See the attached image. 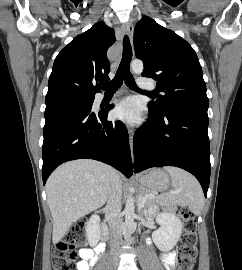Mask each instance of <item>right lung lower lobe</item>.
Listing matches in <instances>:
<instances>
[{
  "mask_svg": "<svg viewBox=\"0 0 242 270\" xmlns=\"http://www.w3.org/2000/svg\"><path fill=\"white\" fill-rule=\"evenodd\" d=\"M94 113L85 102L45 110L42 177L46 183L60 164L89 158L110 164L126 177L133 173L129 136L121 121H107L108 111Z\"/></svg>",
  "mask_w": 242,
  "mask_h": 270,
  "instance_id": "right-lung-lower-lobe-1",
  "label": "right lung lower lobe"
}]
</instances>
